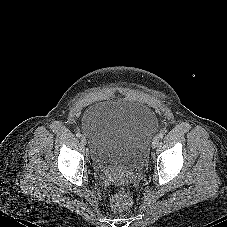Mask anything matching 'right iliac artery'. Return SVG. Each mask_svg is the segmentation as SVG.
<instances>
[{"label": "right iliac artery", "instance_id": "1", "mask_svg": "<svg viewBox=\"0 0 227 227\" xmlns=\"http://www.w3.org/2000/svg\"><path fill=\"white\" fill-rule=\"evenodd\" d=\"M76 136H77L78 138H80L82 135H81V133L78 132V133L76 134Z\"/></svg>", "mask_w": 227, "mask_h": 227}]
</instances>
